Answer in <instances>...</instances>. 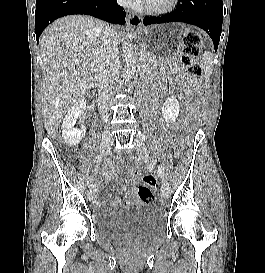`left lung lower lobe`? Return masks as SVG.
Segmentation results:
<instances>
[{
    "label": "left lung lower lobe",
    "mask_w": 265,
    "mask_h": 273,
    "mask_svg": "<svg viewBox=\"0 0 265 273\" xmlns=\"http://www.w3.org/2000/svg\"><path fill=\"white\" fill-rule=\"evenodd\" d=\"M223 20L222 0H179L174 11L161 17H145L144 25L167 22H185L205 30L217 50Z\"/></svg>",
    "instance_id": "1"
}]
</instances>
